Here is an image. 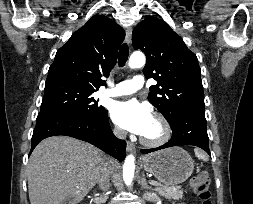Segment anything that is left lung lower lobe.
I'll list each match as a JSON object with an SVG mask.
<instances>
[{
  "label": "left lung lower lobe",
  "mask_w": 253,
  "mask_h": 204,
  "mask_svg": "<svg viewBox=\"0 0 253 204\" xmlns=\"http://www.w3.org/2000/svg\"><path fill=\"white\" fill-rule=\"evenodd\" d=\"M204 109L205 107H192L178 114L170 123L173 134L169 142L157 148L141 150V152L147 154L172 146L194 145L210 155Z\"/></svg>",
  "instance_id": "0a47b994"
}]
</instances>
